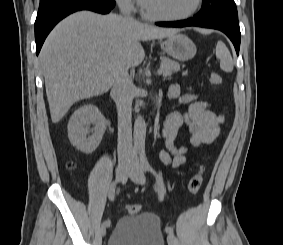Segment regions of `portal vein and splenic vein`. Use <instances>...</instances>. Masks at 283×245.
I'll return each mask as SVG.
<instances>
[{"label": "portal vein and splenic vein", "instance_id": "portal-vein-and-splenic-vein-1", "mask_svg": "<svg viewBox=\"0 0 283 245\" xmlns=\"http://www.w3.org/2000/svg\"><path fill=\"white\" fill-rule=\"evenodd\" d=\"M157 74H162V69H159L158 71H157Z\"/></svg>", "mask_w": 283, "mask_h": 245}]
</instances>
